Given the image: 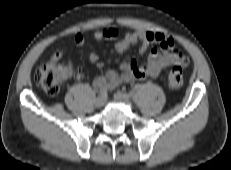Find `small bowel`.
<instances>
[{"instance_id":"1","label":"small bowel","mask_w":231,"mask_h":170,"mask_svg":"<svg viewBox=\"0 0 231 170\" xmlns=\"http://www.w3.org/2000/svg\"><path fill=\"white\" fill-rule=\"evenodd\" d=\"M118 33L119 31L116 28H107L96 31L93 38L96 41L113 39L118 36ZM74 41L78 47H82L85 43L83 35L79 33L76 34ZM137 44H139V51L141 53H145L150 47H153L145 64H138L133 58L127 55L118 70H109L104 75L96 77L93 80V86L95 88L112 90L121 83H129L146 77H157L171 65L184 67L188 64V59L183 54L174 50V39L158 32H127L116 43L115 48L119 54H126L131 47ZM61 57L62 52L57 51L52 55L51 61L58 62ZM88 58L92 63L97 62L99 59L98 55L93 52L88 55ZM66 68L73 74L74 67L72 61H69Z\"/></svg>"}]
</instances>
